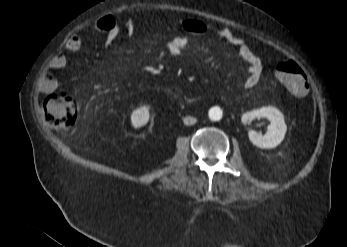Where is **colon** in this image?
Masks as SVG:
<instances>
[{"label":"colon","mask_w":347,"mask_h":247,"mask_svg":"<svg viewBox=\"0 0 347 247\" xmlns=\"http://www.w3.org/2000/svg\"><path fill=\"white\" fill-rule=\"evenodd\" d=\"M275 75L293 95L303 98L308 93V80L304 70L292 60L278 62ZM45 121L55 130L66 133L76 124L79 104L67 95L52 93L44 101Z\"/></svg>","instance_id":"5ec220e1"}]
</instances>
